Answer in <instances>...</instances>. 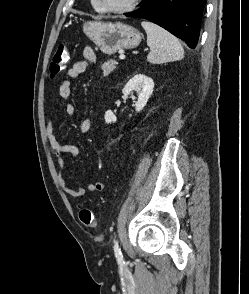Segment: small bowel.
<instances>
[{
	"instance_id": "c3829d8e",
	"label": "small bowel",
	"mask_w": 249,
	"mask_h": 294,
	"mask_svg": "<svg viewBox=\"0 0 249 294\" xmlns=\"http://www.w3.org/2000/svg\"><path fill=\"white\" fill-rule=\"evenodd\" d=\"M82 56L84 60L73 64V66L67 71V78L63 80L59 86V96L63 100L69 99L71 95V80L84 73L87 70L89 63H95L97 61L95 51L89 46L83 48ZM65 110L69 116H73L76 113V108L72 103H67ZM91 128L92 120L89 118L84 119L79 126L81 133H88ZM46 137L49 148L56 159L59 185L66 194L71 197L78 198L84 196L87 191L90 193H95L104 190L105 183L101 181L89 183L86 188L80 186L71 187L67 184L66 158L77 157L79 154V148L72 144H65L60 142L55 134L54 121L51 115L48 116L46 122Z\"/></svg>"
}]
</instances>
